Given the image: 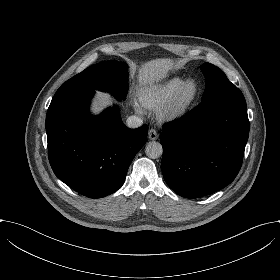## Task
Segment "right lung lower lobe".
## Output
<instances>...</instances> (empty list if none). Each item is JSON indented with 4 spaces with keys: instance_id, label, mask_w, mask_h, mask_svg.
<instances>
[{
    "instance_id": "right-lung-lower-lobe-1",
    "label": "right lung lower lobe",
    "mask_w": 280,
    "mask_h": 280,
    "mask_svg": "<svg viewBox=\"0 0 280 280\" xmlns=\"http://www.w3.org/2000/svg\"><path fill=\"white\" fill-rule=\"evenodd\" d=\"M93 95L89 88L57 90L46 116L48 155L65 184L89 198H102L123 185L130 163L146 142L148 126L127 128L117 107L92 116Z\"/></svg>"
}]
</instances>
